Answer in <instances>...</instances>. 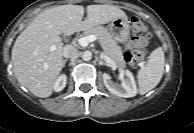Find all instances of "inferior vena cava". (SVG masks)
Masks as SVG:
<instances>
[{
    "label": "inferior vena cava",
    "mask_w": 194,
    "mask_h": 133,
    "mask_svg": "<svg viewBox=\"0 0 194 133\" xmlns=\"http://www.w3.org/2000/svg\"><path fill=\"white\" fill-rule=\"evenodd\" d=\"M63 56L66 59H76L80 56V52L72 45H66L64 47Z\"/></svg>",
    "instance_id": "inferior-vena-cava-1"
}]
</instances>
